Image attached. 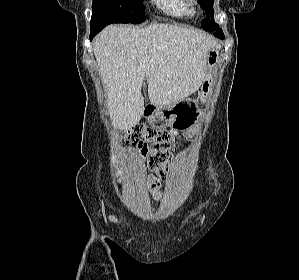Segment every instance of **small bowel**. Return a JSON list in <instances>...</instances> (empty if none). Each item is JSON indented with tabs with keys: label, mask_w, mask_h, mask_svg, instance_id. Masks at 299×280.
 <instances>
[{
	"label": "small bowel",
	"mask_w": 299,
	"mask_h": 280,
	"mask_svg": "<svg viewBox=\"0 0 299 280\" xmlns=\"http://www.w3.org/2000/svg\"><path fill=\"white\" fill-rule=\"evenodd\" d=\"M154 171H155L154 174H150L147 177L146 184H147V187H148L149 191L151 192L153 198L158 201L162 197V192L160 190V187H161L160 177H162V176L160 174L159 168L154 167Z\"/></svg>",
	"instance_id": "obj_1"
}]
</instances>
